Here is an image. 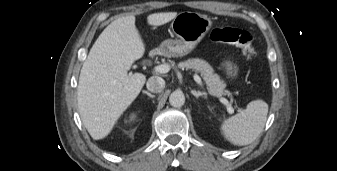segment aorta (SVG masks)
<instances>
[{"label":"aorta","mask_w":337,"mask_h":171,"mask_svg":"<svg viewBox=\"0 0 337 171\" xmlns=\"http://www.w3.org/2000/svg\"><path fill=\"white\" fill-rule=\"evenodd\" d=\"M169 103L173 107H181L185 103V96L181 91H174L169 96Z\"/></svg>","instance_id":"1"}]
</instances>
